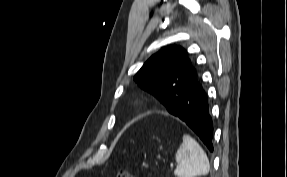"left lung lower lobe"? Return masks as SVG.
I'll return each instance as SVG.
<instances>
[{
	"mask_svg": "<svg viewBox=\"0 0 287 177\" xmlns=\"http://www.w3.org/2000/svg\"><path fill=\"white\" fill-rule=\"evenodd\" d=\"M168 111L183 120L213 151V123L209 105L200 82L187 86L169 101Z\"/></svg>",
	"mask_w": 287,
	"mask_h": 177,
	"instance_id": "0a47b994",
	"label": "left lung lower lobe"
}]
</instances>
